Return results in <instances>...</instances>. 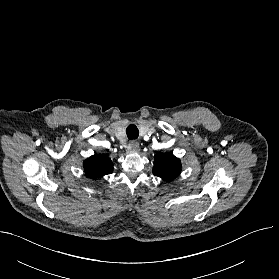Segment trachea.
<instances>
[{
    "label": "trachea",
    "mask_w": 279,
    "mask_h": 279,
    "mask_svg": "<svg viewBox=\"0 0 279 279\" xmlns=\"http://www.w3.org/2000/svg\"><path fill=\"white\" fill-rule=\"evenodd\" d=\"M126 134L129 139H137L139 136V130L135 125L131 124L127 127Z\"/></svg>",
    "instance_id": "obj_1"
}]
</instances>
